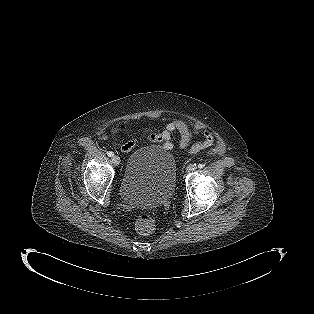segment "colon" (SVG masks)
Listing matches in <instances>:
<instances>
[{
    "instance_id": "colon-1",
    "label": "colon",
    "mask_w": 314,
    "mask_h": 314,
    "mask_svg": "<svg viewBox=\"0 0 314 314\" xmlns=\"http://www.w3.org/2000/svg\"><path fill=\"white\" fill-rule=\"evenodd\" d=\"M136 228L140 234L149 236L155 230V219L148 214H143L137 219Z\"/></svg>"
}]
</instances>
